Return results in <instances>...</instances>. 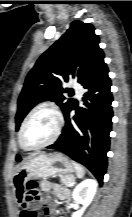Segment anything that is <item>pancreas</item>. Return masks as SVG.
<instances>
[{
  "instance_id": "pancreas-1",
  "label": "pancreas",
  "mask_w": 132,
  "mask_h": 217,
  "mask_svg": "<svg viewBox=\"0 0 132 217\" xmlns=\"http://www.w3.org/2000/svg\"><path fill=\"white\" fill-rule=\"evenodd\" d=\"M60 181L66 187H70V183L75 182V177L73 175H60Z\"/></svg>"
}]
</instances>
